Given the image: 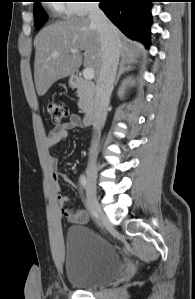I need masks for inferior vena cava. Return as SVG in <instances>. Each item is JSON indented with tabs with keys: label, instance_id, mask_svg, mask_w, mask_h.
Returning a JSON list of instances; mask_svg holds the SVG:
<instances>
[{
	"label": "inferior vena cava",
	"instance_id": "1",
	"mask_svg": "<svg viewBox=\"0 0 195 299\" xmlns=\"http://www.w3.org/2000/svg\"><path fill=\"white\" fill-rule=\"evenodd\" d=\"M89 19L95 23L100 36L102 65L97 79L95 89V102L93 110V127L95 132H99L106 121L107 107L113 90L116 77L119 56L120 42L116 27L110 22L97 2L89 4ZM98 153V142L95 136L92 140L89 165L95 166Z\"/></svg>",
	"mask_w": 195,
	"mask_h": 299
}]
</instances>
